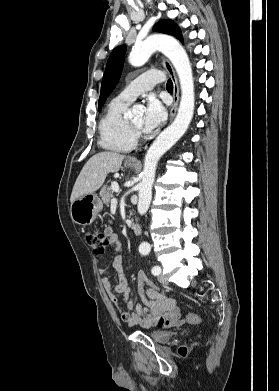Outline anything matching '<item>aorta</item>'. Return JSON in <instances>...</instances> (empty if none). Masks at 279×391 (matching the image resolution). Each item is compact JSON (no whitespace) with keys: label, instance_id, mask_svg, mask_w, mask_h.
Listing matches in <instances>:
<instances>
[{"label":"aorta","instance_id":"762f6f07","mask_svg":"<svg viewBox=\"0 0 279 391\" xmlns=\"http://www.w3.org/2000/svg\"><path fill=\"white\" fill-rule=\"evenodd\" d=\"M156 50L161 51L173 64L179 77L181 100L174 121L159 134L145 155L137 205L141 215L147 212L151 203L152 186L159 159L184 135L194 114L195 95L192 68L185 49L176 39L164 35H153L136 43L129 55V63L135 67L142 66ZM139 110H141L140 105L132 108L133 113ZM139 248L142 251L150 250V245L143 242Z\"/></svg>","mask_w":279,"mask_h":391}]
</instances>
